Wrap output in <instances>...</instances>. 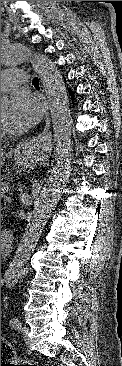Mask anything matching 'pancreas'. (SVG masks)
<instances>
[{"instance_id":"cf45deb5","label":"pancreas","mask_w":122,"mask_h":366,"mask_svg":"<svg viewBox=\"0 0 122 366\" xmlns=\"http://www.w3.org/2000/svg\"><path fill=\"white\" fill-rule=\"evenodd\" d=\"M9 189H10L9 183L1 182V198L5 197V193Z\"/></svg>"}]
</instances>
